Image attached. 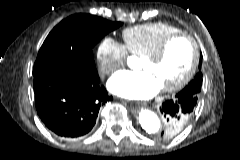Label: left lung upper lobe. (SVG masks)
Wrapping results in <instances>:
<instances>
[{
    "label": "left lung upper lobe",
    "instance_id": "1",
    "mask_svg": "<svg viewBox=\"0 0 240 160\" xmlns=\"http://www.w3.org/2000/svg\"><path fill=\"white\" fill-rule=\"evenodd\" d=\"M199 68H201V60H200V65ZM201 83H202V74L201 72H199L195 78L184 88V89H189L192 88L193 92L196 94H199L200 90H201ZM192 114L189 115H185L182 116L177 122L178 124H186L188 122V120L191 118ZM183 128H179L174 132H171L168 128V123L166 121V126L164 128V130L160 133V137L161 138H170L175 136L176 134H178Z\"/></svg>",
    "mask_w": 240,
    "mask_h": 160
}]
</instances>
